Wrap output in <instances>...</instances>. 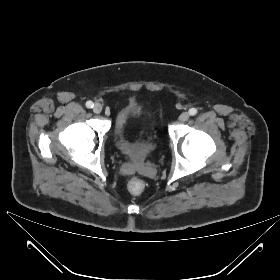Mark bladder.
<instances>
[{"label":"bladder","mask_w":280,"mask_h":280,"mask_svg":"<svg viewBox=\"0 0 280 280\" xmlns=\"http://www.w3.org/2000/svg\"><path fill=\"white\" fill-rule=\"evenodd\" d=\"M145 120L143 138L131 141L126 136L129 124L133 121ZM153 124L150 114L138 104L131 103L124 106L116 117L114 127L115 144L118 150L132 162L140 164L148 160L155 150L153 138Z\"/></svg>","instance_id":"obj_1"}]
</instances>
